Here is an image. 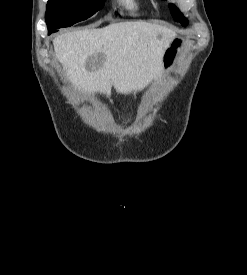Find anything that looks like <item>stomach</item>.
I'll return each mask as SVG.
<instances>
[{"mask_svg": "<svg viewBox=\"0 0 247 275\" xmlns=\"http://www.w3.org/2000/svg\"><path fill=\"white\" fill-rule=\"evenodd\" d=\"M185 42L182 38L175 36L162 58V68L165 72H170L178 60L181 50L184 48Z\"/></svg>", "mask_w": 247, "mask_h": 275, "instance_id": "obj_1", "label": "stomach"}]
</instances>
